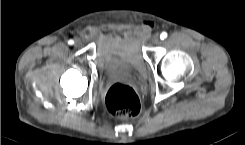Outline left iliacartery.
Masks as SVG:
<instances>
[{
  "instance_id": "obj_1",
  "label": "left iliac artery",
  "mask_w": 245,
  "mask_h": 145,
  "mask_svg": "<svg viewBox=\"0 0 245 145\" xmlns=\"http://www.w3.org/2000/svg\"><path fill=\"white\" fill-rule=\"evenodd\" d=\"M166 37H167V33L166 32H162L161 35H160V38L162 40H164Z\"/></svg>"
}]
</instances>
